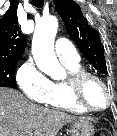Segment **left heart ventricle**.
Listing matches in <instances>:
<instances>
[{
	"mask_svg": "<svg viewBox=\"0 0 117 136\" xmlns=\"http://www.w3.org/2000/svg\"><path fill=\"white\" fill-rule=\"evenodd\" d=\"M85 102L93 108H103L107 102V95L103 87L95 80H88L83 89Z\"/></svg>",
	"mask_w": 117,
	"mask_h": 136,
	"instance_id": "obj_1",
	"label": "left heart ventricle"
}]
</instances>
